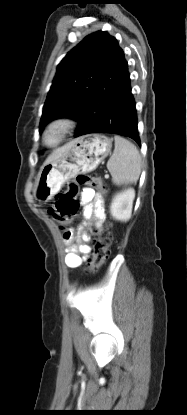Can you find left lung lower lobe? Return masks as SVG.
Returning <instances> with one entry per match:
<instances>
[{
	"instance_id": "left-lung-lower-lobe-1",
	"label": "left lung lower lobe",
	"mask_w": 187,
	"mask_h": 415,
	"mask_svg": "<svg viewBox=\"0 0 187 415\" xmlns=\"http://www.w3.org/2000/svg\"><path fill=\"white\" fill-rule=\"evenodd\" d=\"M90 102L96 112L79 122L75 137L111 133L130 137L140 145L128 64L118 42L96 81Z\"/></svg>"
}]
</instances>
